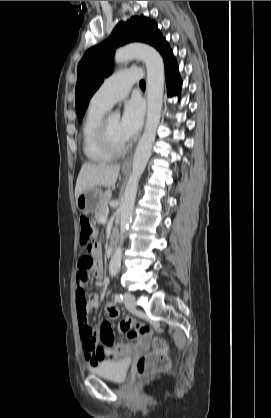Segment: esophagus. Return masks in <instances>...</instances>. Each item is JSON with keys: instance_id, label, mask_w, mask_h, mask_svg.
Masks as SVG:
<instances>
[{"instance_id": "esophagus-1", "label": "esophagus", "mask_w": 271, "mask_h": 418, "mask_svg": "<svg viewBox=\"0 0 271 418\" xmlns=\"http://www.w3.org/2000/svg\"><path fill=\"white\" fill-rule=\"evenodd\" d=\"M131 162H132V157H131V156H129L128 158H126V159L124 160V162H123V167H128V166H130V165H131Z\"/></svg>"}]
</instances>
